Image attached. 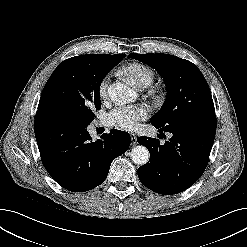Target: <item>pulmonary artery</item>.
<instances>
[{"instance_id": "e3ab8cb5", "label": "pulmonary artery", "mask_w": 247, "mask_h": 247, "mask_svg": "<svg viewBox=\"0 0 247 247\" xmlns=\"http://www.w3.org/2000/svg\"><path fill=\"white\" fill-rule=\"evenodd\" d=\"M144 87H146L145 85H143V86H141L140 88H144Z\"/></svg>"}]
</instances>
